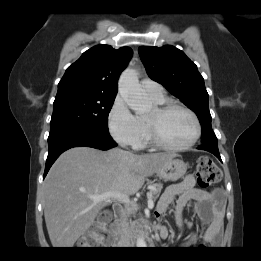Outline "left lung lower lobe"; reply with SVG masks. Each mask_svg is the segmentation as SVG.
I'll list each match as a JSON object with an SVG mask.
<instances>
[{"label":"left lung lower lobe","instance_id":"1","mask_svg":"<svg viewBox=\"0 0 261 261\" xmlns=\"http://www.w3.org/2000/svg\"><path fill=\"white\" fill-rule=\"evenodd\" d=\"M198 149L211 152L221 161V157H220L219 150H218V143H216V142H205V143H202L198 147Z\"/></svg>","mask_w":261,"mask_h":261}]
</instances>
